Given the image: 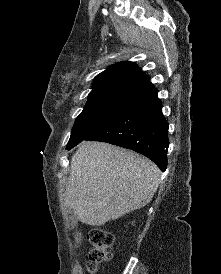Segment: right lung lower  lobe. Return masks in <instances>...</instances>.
<instances>
[{
	"instance_id": "1",
	"label": "right lung lower lobe",
	"mask_w": 221,
	"mask_h": 274,
	"mask_svg": "<svg viewBox=\"0 0 221 274\" xmlns=\"http://www.w3.org/2000/svg\"><path fill=\"white\" fill-rule=\"evenodd\" d=\"M154 88L134 100L117 117L87 140L108 142L145 155L165 171L168 123Z\"/></svg>"
}]
</instances>
